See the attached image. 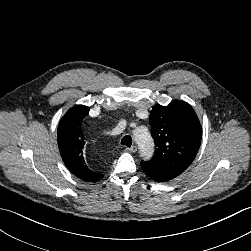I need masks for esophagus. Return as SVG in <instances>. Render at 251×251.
<instances>
[{"instance_id":"34e87169","label":"esophagus","mask_w":251,"mask_h":251,"mask_svg":"<svg viewBox=\"0 0 251 251\" xmlns=\"http://www.w3.org/2000/svg\"><path fill=\"white\" fill-rule=\"evenodd\" d=\"M137 146L136 145H133V146H131L130 148H128L127 150L128 151H130V152H132V153H134V152H136L137 151Z\"/></svg>"}]
</instances>
